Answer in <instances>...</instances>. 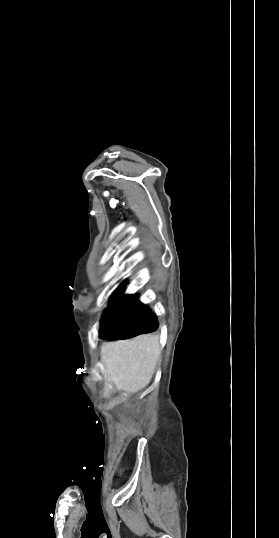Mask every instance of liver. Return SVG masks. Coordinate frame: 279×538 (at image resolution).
I'll use <instances>...</instances> for the list:
<instances>
[{
	"instance_id": "obj_1",
	"label": "liver",
	"mask_w": 279,
	"mask_h": 538,
	"mask_svg": "<svg viewBox=\"0 0 279 538\" xmlns=\"http://www.w3.org/2000/svg\"><path fill=\"white\" fill-rule=\"evenodd\" d=\"M159 356V336L151 334L101 346V360L109 382L127 394H136L148 386Z\"/></svg>"
}]
</instances>
